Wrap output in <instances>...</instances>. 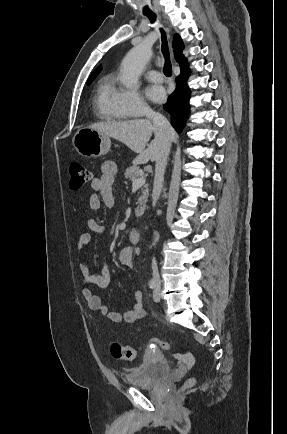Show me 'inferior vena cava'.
I'll return each mask as SVG.
<instances>
[{"mask_svg":"<svg viewBox=\"0 0 287 434\" xmlns=\"http://www.w3.org/2000/svg\"><path fill=\"white\" fill-rule=\"evenodd\" d=\"M145 116L152 120L153 125L156 127V137L159 145L155 159V177L152 194L153 206H155L163 187L164 173L171 146V128L167 119L160 113L146 109ZM152 269L154 281L160 283V275L155 258L152 259Z\"/></svg>","mask_w":287,"mask_h":434,"instance_id":"inferior-vena-cava-1","label":"inferior vena cava"}]
</instances>
